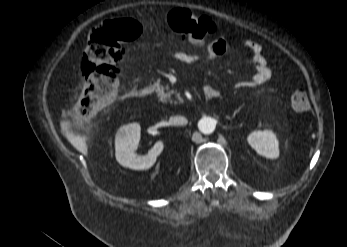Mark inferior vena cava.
<instances>
[{
	"label": "inferior vena cava",
	"mask_w": 347,
	"mask_h": 247,
	"mask_svg": "<svg viewBox=\"0 0 347 247\" xmlns=\"http://www.w3.org/2000/svg\"><path fill=\"white\" fill-rule=\"evenodd\" d=\"M169 122L172 125L181 126V125L187 124V119L185 117H182V116H174V117L170 118Z\"/></svg>",
	"instance_id": "inferior-vena-cava-1"
}]
</instances>
